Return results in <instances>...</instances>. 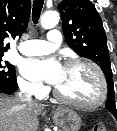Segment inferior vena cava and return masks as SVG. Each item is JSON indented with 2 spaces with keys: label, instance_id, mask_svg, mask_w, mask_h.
I'll use <instances>...</instances> for the list:
<instances>
[{
  "label": "inferior vena cava",
  "instance_id": "602c4592",
  "mask_svg": "<svg viewBox=\"0 0 117 131\" xmlns=\"http://www.w3.org/2000/svg\"><path fill=\"white\" fill-rule=\"evenodd\" d=\"M19 98L22 102L24 103H27V104H35L33 101H32V98H31V94L29 93V90H22L20 93H19Z\"/></svg>",
  "mask_w": 117,
  "mask_h": 131
}]
</instances>
